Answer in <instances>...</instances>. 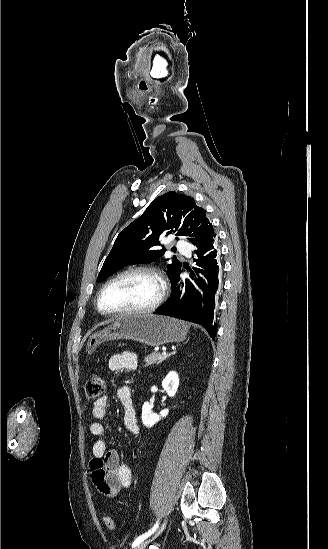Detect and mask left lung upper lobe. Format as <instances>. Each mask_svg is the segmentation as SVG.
Masks as SVG:
<instances>
[{"instance_id": "left-lung-upper-lobe-1", "label": "left lung upper lobe", "mask_w": 328, "mask_h": 549, "mask_svg": "<svg viewBox=\"0 0 328 549\" xmlns=\"http://www.w3.org/2000/svg\"><path fill=\"white\" fill-rule=\"evenodd\" d=\"M173 233L199 247L215 236L206 210L190 196L174 191L156 198L145 212L117 236L104 261L97 281H103L126 265L145 264L157 260L166 249L156 250L159 236ZM181 263L174 258L167 265L171 282L181 273Z\"/></svg>"}]
</instances>
